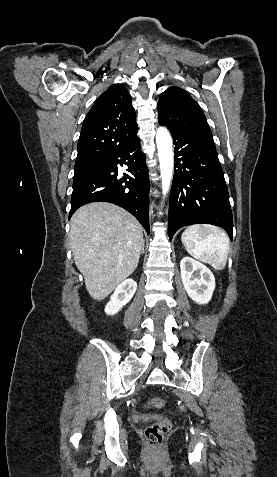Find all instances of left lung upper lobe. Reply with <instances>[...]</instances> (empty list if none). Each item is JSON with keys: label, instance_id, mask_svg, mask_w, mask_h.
<instances>
[{"label": "left lung upper lobe", "instance_id": "left-lung-upper-lobe-1", "mask_svg": "<svg viewBox=\"0 0 277 477\" xmlns=\"http://www.w3.org/2000/svg\"><path fill=\"white\" fill-rule=\"evenodd\" d=\"M158 121L169 130L211 132L198 103L183 89L169 87L158 102Z\"/></svg>", "mask_w": 277, "mask_h": 477}]
</instances>
